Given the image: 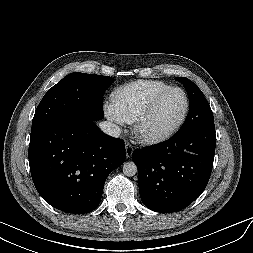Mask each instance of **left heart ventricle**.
Listing matches in <instances>:
<instances>
[{
  "label": "left heart ventricle",
  "instance_id": "b2bd125f",
  "mask_svg": "<svg viewBox=\"0 0 253 253\" xmlns=\"http://www.w3.org/2000/svg\"><path fill=\"white\" fill-rule=\"evenodd\" d=\"M185 107L180 91H171L163 96L143 126L146 134H160L168 131L179 120Z\"/></svg>",
  "mask_w": 253,
  "mask_h": 253
}]
</instances>
